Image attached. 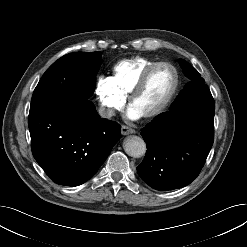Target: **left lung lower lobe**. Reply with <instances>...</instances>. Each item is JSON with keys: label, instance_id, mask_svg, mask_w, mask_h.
<instances>
[{"label": "left lung lower lobe", "instance_id": "0a47b994", "mask_svg": "<svg viewBox=\"0 0 247 247\" xmlns=\"http://www.w3.org/2000/svg\"><path fill=\"white\" fill-rule=\"evenodd\" d=\"M214 113V99L203 85L146 125L141 135L147 151L137 167L141 179L160 191L190 184L213 145Z\"/></svg>", "mask_w": 247, "mask_h": 247}]
</instances>
